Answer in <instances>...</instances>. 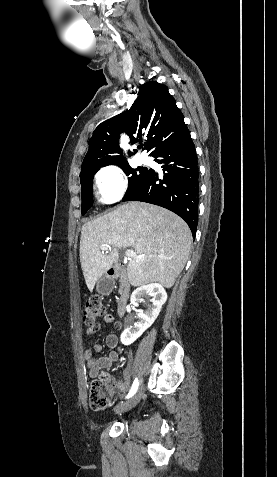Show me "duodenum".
<instances>
[{
	"instance_id": "410a0bca",
	"label": "duodenum",
	"mask_w": 277,
	"mask_h": 477,
	"mask_svg": "<svg viewBox=\"0 0 277 477\" xmlns=\"http://www.w3.org/2000/svg\"><path fill=\"white\" fill-rule=\"evenodd\" d=\"M108 279V288H112L113 284L119 282V299L117 302V313L119 316H124L127 312L129 301V280L125 269L115 266L110 268L106 273Z\"/></svg>"
}]
</instances>
